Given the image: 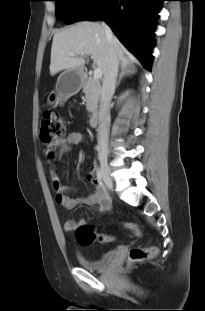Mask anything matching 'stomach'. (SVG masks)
<instances>
[{
    "mask_svg": "<svg viewBox=\"0 0 205 311\" xmlns=\"http://www.w3.org/2000/svg\"><path fill=\"white\" fill-rule=\"evenodd\" d=\"M83 83V72L81 69H70L63 71L58 79L53 95L54 102H63L69 97L77 94ZM51 103H54L50 101Z\"/></svg>",
    "mask_w": 205,
    "mask_h": 311,
    "instance_id": "stomach-1",
    "label": "stomach"
}]
</instances>
